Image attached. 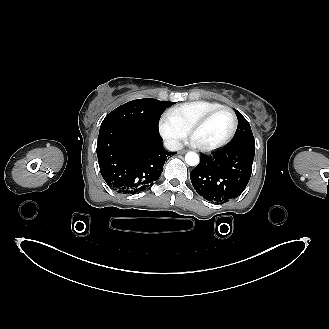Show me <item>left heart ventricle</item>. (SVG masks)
<instances>
[{
	"instance_id": "b2bd125f",
	"label": "left heart ventricle",
	"mask_w": 329,
	"mask_h": 329,
	"mask_svg": "<svg viewBox=\"0 0 329 329\" xmlns=\"http://www.w3.org/2000/svg\"><path fill=\"white\" fill-rule=\"evenodd\" d=\"M232 125L231 114L227 111H222L195 132L193 141L201 145L219 143L229 135Z\"/></svg>"
}]
</instances>
